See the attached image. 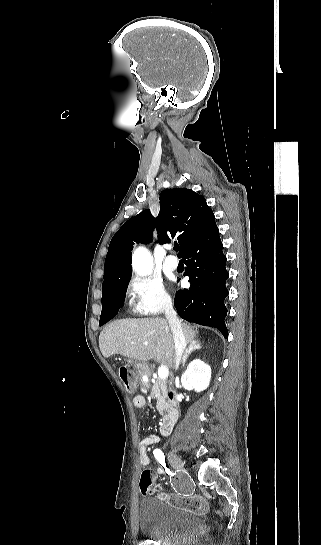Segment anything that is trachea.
Returning a JSON list of instances; mask_svg holds the SVG:
<instances>
[{
    "mask_svg": "<svg viewBox=\"0 0 321 545\" xmlns=\"http://www.w3.org/2000/svg\"><path fill=\"white\" fill-rule=\"evenodd\" d=\"M174 250H175L176 252H178V251H179V245L175 244V245H174Z\"/></svg>",
    "mask_w": 321,
    "mask_h": 545,
    "instance_id": "trachea-1",
    "label": "trachea"
}]
</instances>
